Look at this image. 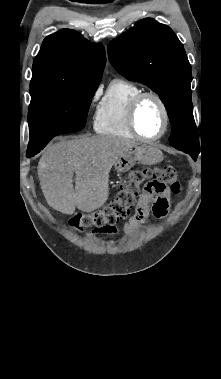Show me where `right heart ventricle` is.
Returning a JSON list of instances; mask_svg holds the SVG:
<instances>
[{
    "mask_svg": "<svg viewBox=\"0 0 221 379\" xmlns=\"http://www.w3.org/2000/svg\"><path fill=\"white\" fill-rule=\"evenodd\" d=\"M140 92L141 89L131 81L113 80L96 111L95 131L107 136L135 138L128 124V107L131 100Z\"/></svg>",
    "mask_w": 221,
    "mask_h": 379,
    "instance_id": "1",
    "label": "right heart ventricle"
}]
</instances>
